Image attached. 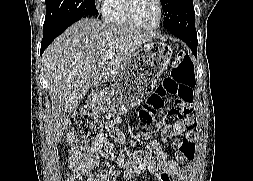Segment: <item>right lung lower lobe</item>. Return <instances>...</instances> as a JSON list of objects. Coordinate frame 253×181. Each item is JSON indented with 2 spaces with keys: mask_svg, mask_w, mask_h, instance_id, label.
<instances>
[{
  "mask_svg": "<svg viewBox=\"0 0 253 181\" xmlns=\"http://www.w3.org/2000/svg\"><path fill=\"white\" fill-rule=\"evenodd\" d=\"M82 17L74 18L72 20H69L65 24H62L54 29H50L47 31H44L43 39L41 42V55L44 52V50L47 48V46L61 33H63L66 28H68L70 25H72L74 22L80 20Z\"/></svg>",
  "mask_w": 253,
  "mask_h": 181,
  "instance_id": "1",
  "label": "right lung lower lobe"
}]
</instances>
